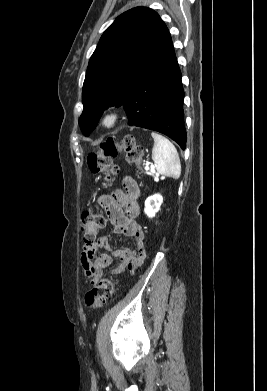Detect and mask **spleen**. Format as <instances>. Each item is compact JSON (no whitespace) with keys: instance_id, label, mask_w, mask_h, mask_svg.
I'll list each match as a JSON object with an SVG mask.
<instances>
[{"instance_id":"obj_1","label":"spleen","mask_w":267,"mask_h":391,"mask_svg":"<svg viewBox=\"0 0 267 391\" xmlns=\"http://www.w3.org/2000/svg\"><path fill=\"white\" fill-rule=\"evenodd\" d=\"M151 136L154 139L152 159L156 170L160 174L178 179L181 175V164L175 146L161 134L152 132Z\"/></svg>"}]
</instances>
